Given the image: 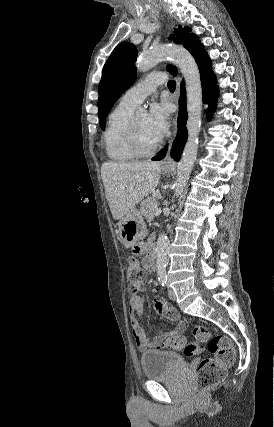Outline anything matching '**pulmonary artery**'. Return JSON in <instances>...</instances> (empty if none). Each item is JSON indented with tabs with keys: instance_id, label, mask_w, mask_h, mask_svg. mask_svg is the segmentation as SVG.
I'll list each match as a JSON object with an SVG mask.
<instances>
[{
	"instance_id": "pulmonary-artery-1",
	"label": "pulmonary artery",
	"mask_w": 274,
	"mask_h": 427,
	"mask_svg": "<svg viewBox=\"0 0 274 427\" xmlns=\"http://www.w3.org/2000/svg\"><path fill=\"white\" fill-rule=\"evenodd\" d=\"M163 83L165 79L160 73L153 72L129 89L121 98L120 104L135 109Z\"/></svg>"
}]
</instances>
